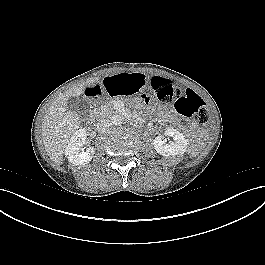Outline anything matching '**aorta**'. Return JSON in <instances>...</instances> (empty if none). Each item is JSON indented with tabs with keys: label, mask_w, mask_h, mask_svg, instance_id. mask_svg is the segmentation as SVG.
I'll return each instance as SVG.
<instances>
[{
	"label": "aorta",
	"mask_w": 265,
	"mask_h": 265,
	"mask_svg": "<svg viewBox=\"0 0 265 265\" xmlns=\"http://www.w3.org/2000/svg\"><path fill=\"white\" fill-rule=\"evenodd\" d=\"M123 116L121 114L115 113L110 117L111 123L113 125H121L123 122Z\"/></svg>",
	"instance_id": "obj_1"
}]
</instances>
